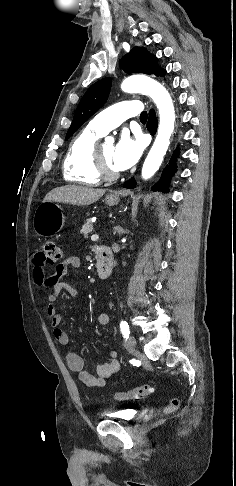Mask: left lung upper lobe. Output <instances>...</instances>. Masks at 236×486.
I'll return each mask as SVG.
<instances>
[{
  "instance_id": "1",
  "label": "left lung upper lobe",
  "mask_w": 236,
  "mask_h": 486,
  "mask_svg": "<svg viewBox=\"0 0 236 486\" xmlns=\"http://www.w3.org/2000/svg\"><path fill=\"white\" fill-rule=\"evenodd\" d=\"M126 73H144L164 76L165 70L157 66L156 56L150 54L144 47H134L120 62ZM111 88V79L104 78L93 84L82 97L73 122L67 132L68 140L94 113L107 101Z\"/></svg>"
}]
</instances>
